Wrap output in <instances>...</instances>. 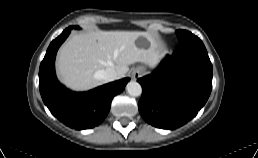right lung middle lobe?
Returning a JSON list of instances; mask_svg holds the SVG:
<instances>
[{"label":"right lung middle lobe","mask_w":258,"mask_h":158,"mask_svg":"<svg viewBox=\"0 0 258 158\" xmlns=\"http://www.w3.org/2000/svg\"><path fill=\"white\" fill-rule=\"evenodd\" d=\"M71 28H73V26H71ZM74 28H78L77 26H75Z\"/></svg>","instance_id":"right-lung-middle-lobe-1"}]
</instances>
